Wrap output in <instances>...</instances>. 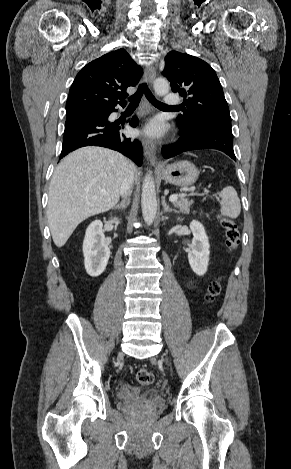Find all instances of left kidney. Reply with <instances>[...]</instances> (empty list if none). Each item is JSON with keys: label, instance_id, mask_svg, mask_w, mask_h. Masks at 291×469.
<instances>
[{"label": "left kidney", "instance_id": "1", "mask_svg": "<svg viewBox=\"0 0 291 469\" xmlns=\"http://www.w3.org/2000/svg\"><path fill=\"white\" fill-rule=\"evenodd\" d=\"M193 234L191 250L188 252V260L192 270L199 276H203L208 267L210 245L204 226L193 220L190 223Z\"/></svg>", "mask_w": 291, "mask_h": 469}]
</instances>
